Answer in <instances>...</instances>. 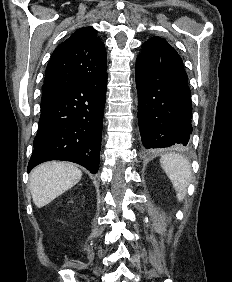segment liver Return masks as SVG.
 Masks as SVG:
<instances>
[{
    "label": "liver",
    "mask_w": 232,
    "mask_h": 282,
    "mask_svg": "<svg viewBox=\"0 0 232 282\" xmlns=\"http://www.w3.org/2000/svg\"><path fill=\"white\" fill-rule=\"evenodd\" d=\"M82 172L67 162H46L30 173V192L34 204L40 208L79 182Z\"/></svg>",
    "instance_id": "liver-1"
}]
</instances>
